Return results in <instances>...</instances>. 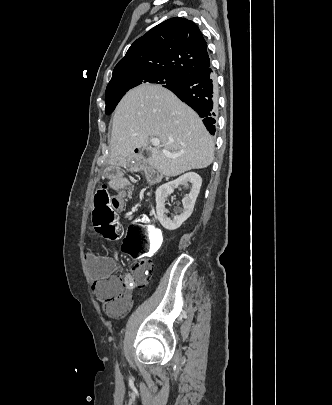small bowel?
<instances>
[{"label": "small bowel", "mask_w": 332, "mask_h": 405, "mask_svg": "<svg viewBox=\"0 0 332 405\" xmlns=\"http://www.w3.org/2000/svg\"><path fill=\"white\" fill-rule=\"evenodd\" d=\"M127 176L126 168H105V177H112L110 181V187L116 192L111 194V209L116 211L117 215H126L127 207L125 193V181H121V177ZM86 264L92 277L99 280L108 276L113 270L118 267V260L115 256L101 255L93 252H87L85 254ZM129 307V301H127L126 307L119 313L124 312ZM117 313V314H119Z\"/></svg>", "instance_id": "obj_1"}]
</instances>
